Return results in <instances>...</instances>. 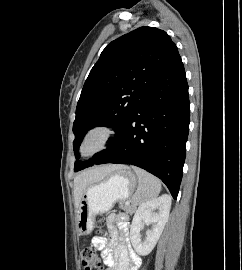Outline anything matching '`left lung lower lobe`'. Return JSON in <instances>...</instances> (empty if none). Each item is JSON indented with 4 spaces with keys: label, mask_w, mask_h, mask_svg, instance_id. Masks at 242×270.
<instances>
[{
    "label": "left lung lower lobe",
    "mask_w": 242,
    "mask_h": 270,
    "mask_svg": "<svg viewBox=\"0 0 242 270\" xmlns=\"http://www.w3.org/2000/svg\"><path fill=\"white\" fill-rule=\"evenodd\" d=\"M190 102L179 56L155 80L108 148L89 165L122 163L160 178L177 198L185 161Z\"/></svg>",
    "instance_id": "0a47b994"
}]
</instances>
